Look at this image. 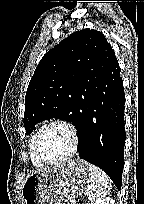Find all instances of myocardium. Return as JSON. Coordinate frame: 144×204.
Returning <instances> with one entry per match:
<instances>
[{
  "label": "myocardium",
  "mask_w": 144,
  "mask_h": 204,
  "mask_svg": "<svg viewBox=\"0 0 144 204\" xmlns=\"http://www.w3.org/2000/svg\"><path fill=\"white\" fill-rule=\"evenodd\" d=\"M62 127L65 130H67V132L69 133L70 137H71V148L69 150V152L64 155L63 157L56 159V160H44L42 159L37 151V144H38V140L41 136V134L48 128L50 127ZM79 145H80V135H79V131L77 129V127L70 121L65 120V119H53L50 120L49 122L45 123L43 126H41L37 132L35 133L34 136V140H33V145H32V153L34 158L42 165H56V164H60L63 162L68 161L69 159H71L78 151L79 149Z\"/></svg>",
  "instance_id": "myocardium-1"
}]
</instances>
